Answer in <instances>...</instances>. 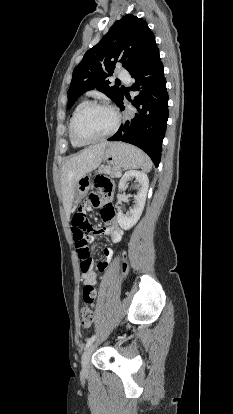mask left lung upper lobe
I'll use <instances>...</instances> for the list:
<instances>
[{"label":"left lung upper lobe","instance_id":"1","mask_svg":"<svg viewBox=\"0 0 233 414\" xmlns=\"http://www.w3.org/2000/svg\"><path fill=\"white\" fill-rule=\"evenodd\" d=\"M157 51L155 36L143 19L126 15L116 21L75 67L68 90V109L80 95L94 88L105 93L118 105L123 98V91L116 85L110 86L108 80L115 64L120 62L133 74Z\"/></svg>","mask_w":233,"mask_h":414}]
</instances>
